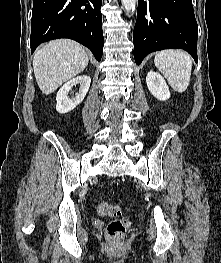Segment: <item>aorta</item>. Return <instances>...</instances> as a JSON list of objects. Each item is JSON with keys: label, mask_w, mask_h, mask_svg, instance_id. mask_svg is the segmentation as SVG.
I'll use <instances>...</instances> for the list:
<instances>
[{"label": "aorta", "mask_w": 221, "mask_h": 263, "mask_svg": "<svg viewBox=\"0 0 221 263\" xmlns=\"http://www.w3.org/2000/svg\"><path fill=\"white\" fill-rule=\"evenodd\" d=\"M122 5L124 6V9L126 13L133 12L135 9V6L137 4V0H121Z\"/></svg>", "instance_id": "1"}]
</instances>
